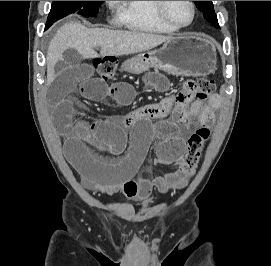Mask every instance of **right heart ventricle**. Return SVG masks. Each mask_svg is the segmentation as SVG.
Instances as JSON below:
<instances>
[{
    "label": "right heart ventricle",
    "mask_w": 271,
    "mask_h": 266,
    "mask_svg": "<svg viewBox=\"0 0 271 266\" xmlns=\"http://www.w3.org/2000/svg\"><path fill=\"white\" fill-rule=\"evenodd\" d=\"M117 3L118 18L128 29L162 34L176 31L157 15L154 1H117Z\"/></svg>",
    "instance_id": "1"
}]
</instances>
